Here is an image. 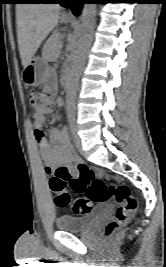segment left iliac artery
Masks as SVG:
<instances>
[{
    "label": "left iliac artery",
    "mask_w": 166,
    "mask_h": 267,
    "mask_svg": "<svg viewBox=\"0 0 166 267\" xmlns=\"http://www.w3.org/2000/svg\"><path fill=\"white\" fill-rule=\"evenodd\" d=\"M68 123H69V130L71 133L75 131V115L73 112L68 114Z\"/></svg>",
    "instance_id": "1"
}]
</instances>
